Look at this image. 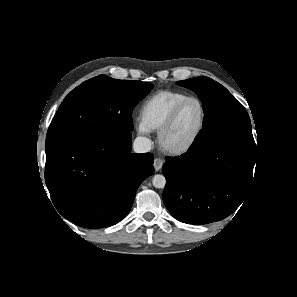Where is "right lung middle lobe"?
Returning a JSON list of instances; mask_svg holds the SVG:
<instances>
[{
  "label": "right lung middle lobe",
  "instance_id": "obj_1",
  "mask_svg": "<svg viewBox=\"0 0 297 297\" xmlns=\"http://www.w3.org/2000/svg\"><path fill=\"white\" fill-rule=\"evenodd\" d=\"M153 85L105 75L89 79L63 100L49 126L46 154L75 140L102 133L131 132L132 110Z\"/></svg>",
  "mask_w": 297,
  "mask_h": 297
}]
</instances>
